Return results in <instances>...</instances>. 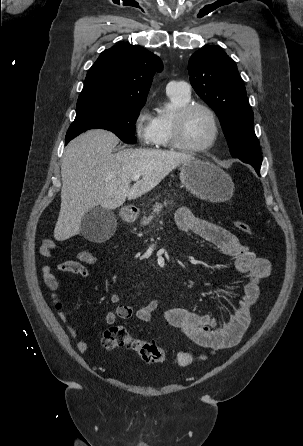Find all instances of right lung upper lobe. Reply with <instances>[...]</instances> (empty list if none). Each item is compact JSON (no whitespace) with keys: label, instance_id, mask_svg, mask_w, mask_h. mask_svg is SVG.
<instances>
[{"label":"right lung upper lobe","instance_id":"1","mask_svg":"<svg viewBox=\"0 0 303 446\" xmlns=\"http://www.w3.org/2000/svg\"><path fill=\"white\" fill-rule=\"evenodd\" d=\"M162 61L152 52L133 45L104 50L89 69L77 106L116 103L144 106L155 71Z\"/></svg>","mask_w":303,"mask_h":446}]
</instances>
